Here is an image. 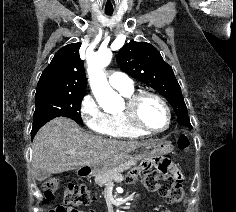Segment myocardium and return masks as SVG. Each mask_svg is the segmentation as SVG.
Masks as SVG:
<instances>
[{
  "mask_svg": "<svg viewBox=\"0 0 236 212\" xmlns=\"http://www.w3.org/2000/svg\"><path fill=\"white\" fill-rule=\"evenodd\" d=\"M153 98L160 102L165 108L168 115V122L165 127L161 129H152L147 127L142 119H141V107L145 99ZM123 113L127 117L130 125L134 127L136 130L144 133V134H158L166 131L172 124V111L168 104V102L159 94L147 91V90H139L135 91L132 95H130L125 102V106L123 109Z\"/></svg>",
  "mask_w": 236,
  "mask_h": 212,
  "instance_id": "f54148a6",
  "label": "myocardium"
}]
</instances>
